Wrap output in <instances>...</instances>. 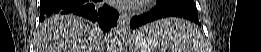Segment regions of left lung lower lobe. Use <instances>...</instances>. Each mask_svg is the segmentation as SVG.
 <instances>
[{"label":"left lung lower lobe","instance_id":"obj_1","mask_svg":"<svg viewBox=\"0 0 261 52\" xmlns=\"http://www.w3.org/2000/svg\"><path fill=\"white\" fill-rule=\"evenodd\" d=\"M170 16L187 18L199 24L197 9L184 3L164 4L160 2L152 11L133 17L130 21V27L135 29L146 23Z\"/></svg>","mask_w":261,"mask_h":52}]
</instances>
